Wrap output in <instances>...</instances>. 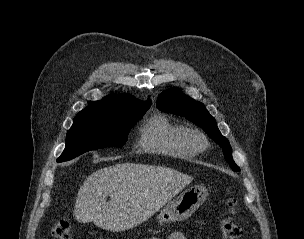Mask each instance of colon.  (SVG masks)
I'll use <instances>...</instances> for the list:
<instances>
[{"label":"colon","instance_id":"colon-1","mask_svg":"<svg viewBox=\"0 0 304 239\" xmlns=\"http://www.w3.org/2000/svg\"><path fill=\"white\" fill-rule=\"evenodd\" d=\"M229 215L221 220L220 235L222 239H237L242 233L240 224L235 218L238 211V201L230 198L227 202ZM51 234L55 239H71V224L67 219L58 220L51 228Z\"/></svg>","mask_w":304,"mask_h":239}]
</instances>
